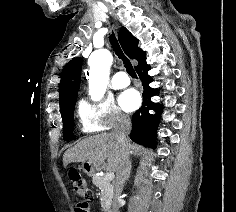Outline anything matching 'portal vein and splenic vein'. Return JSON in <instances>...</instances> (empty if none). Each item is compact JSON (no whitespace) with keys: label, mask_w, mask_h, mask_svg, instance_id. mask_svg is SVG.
I'll use <instances>...</instances> for the list:
<instances>
[{"label":"portal vein and splenic vein","mask_w":236,"mask_h":212,"mask_svg":"<svg viewBox=\"0 0 236 212\" xmlns=\"http://www.w3.org/2000/svg\"><path fill=\"white\" fill-rule=\"evenodd\" d=\"M105 178L107 180H112L114 178V172H112V171L107 172L105 175Z\"/></svg>","instance_id":"1"}]
</instances>
